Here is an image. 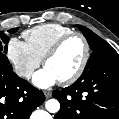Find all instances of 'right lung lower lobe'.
<instances>
[{
  "label": "right lung lower lobe",
  "mask_w": 119,
  "mask_h": 119,
  "mask_svg": "<svg viewBox=\"0 0 119 119\" xmlns=\"http://www.w3.org/2000/svg\"><path fill=\"white\" fill-rule=\"evenodd\" d=\"M44 100L41 90L14 72H0V119H29Z\"/></svg>",
  "instance_id": "1"
}]
</instances>
